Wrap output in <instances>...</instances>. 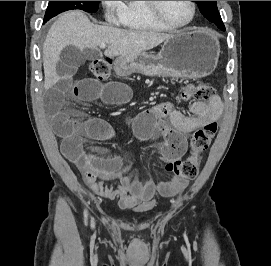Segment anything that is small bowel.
<instances>
[{"label": "small bowel", "mask_w": 271, "mask_h": 266, "mask_svg": "<svg viewBox=\"0 0 271 266\" xmlns=\"http://www.w3.org/2000/svg\"><path fill=\"white\" fill-rule=\"evenodd\" d=\"M81 61L69 55L48 70L50 89L45 107L52 119L56 134L61 138V151L82 173L85 184L97 195L118 200L122 209L138 205L151 206L156 192L164 196L183 191L188 180L172 178L155 183L151 179H132L129 175L131 161L120 155L103 158L90 152L85 138L110 141L116 138L113 126L104 119L90 118L80 122L71 117L66 109L68 98L84 101L100 100L110 105L129 101L131 91L120 82L101 83L91 78L76 79ZM189 97L183 99L187 100ZM223 105L219 97L209 103L196 101L185 114L170 102L154 105L140 112L133 120L136 135L146 140L154 135L162 138L160 150L164 161L179 159L187 148L189 133L216 122ZM166 119V122L162 120Z\"/></svg>", "instance_id": "c3829d8e"}]
</instances>
